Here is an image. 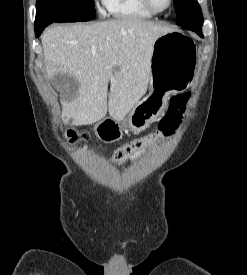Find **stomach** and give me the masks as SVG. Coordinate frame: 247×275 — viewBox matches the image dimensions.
I'll list each match as a JSON object with an SVG mask.
<instances>
[{
  "mask_svg": "<svg viewBox=\"0 0 247 275\" xmlns=\"http://www.w3.org/2000/svg\"><path fill=\"white\" fill-rule=\"evenodd\" d=\"M196 70L197 55L191 38L174 31L158 37L150 59L149 94L133 107L123 125L135 132L146 129L163 113L171 94L192 85ZM94 130L104 142L122 137V125L114 120H104Z\"/></svg>",
  "mask_w": 247,
  "mask_h": 275,
  "instance_id": "stomach-1",
  "label": "stomach"
}]
</instances>
